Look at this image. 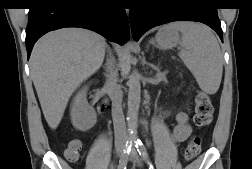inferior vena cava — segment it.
<instances>
[{
    "instance_id": "obj_1",
    "label": "inferior vena cava",
    "mask_w": 252,
    "mask_h": 169,
    "mask_svg": "<svg viewBox=\"0 0 252 169\" xmlns=\"http://www.w3.org/2000/svg\"><path fill=\"white\" fill-rule=\"evenodd\" d=\"M106 87L112 100V119L115 133V146L120 149L125 146L127 131L122 109L123 92L118 84V71L114 68L108 70Z\"/></svg>"
}]
</instances>
